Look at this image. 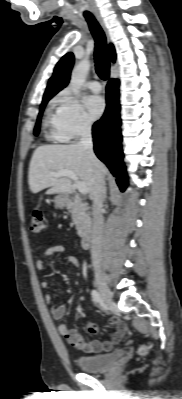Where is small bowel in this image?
Returning a JSON list of instances; mask_svg holds the SVG:
<instances>
[{
    "mask_svg": "<svg viewBox=\"0 0 182 399\" xmlns=\"http://www.w3.org/2000/svg\"><path fill=\"white\" fill-rule=\"evenodd\" d=\"M53 256L63 257L67 262L73 264L77 269H80V264L78 259L74 255L66 254L65 247L62 245H55L47 248L36 262V267L39 270L45 268V259ZM41 287L47 289L49 287L48 281H42ZM45 301L47 304H51L53 299L50 294H46ZM66 310L62 305H56L51 308V315L53 319L59 321L65 316ZM110 324L115 326V330L110 335V340L108 341H85L76 330L71 329L65 322H62L58 326L59 333L67 340L69 344L77 348L88 355H94L100 352L110 351L113 345L120 339L123 330L125 328L124 323L117 316H112L110 318ZM88 332L96 335L100 332V328L93 322H88L87 324Z\"/></svg>",
    "mask_w": 182,
    "mask_h": 399,
    "instance_id": "small-bowel-1",
    "label": "small bowel"
}]
</instances>
